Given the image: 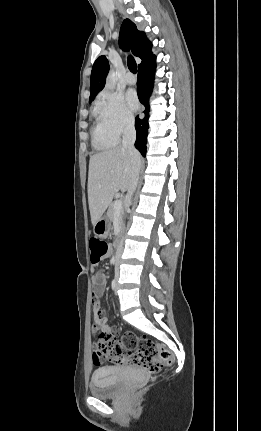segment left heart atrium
<instances>
[{
  "label": "left heart atrium",
  "instance_id": "39dd6f15",
  "mask_svg": "<svg viewBox=\"0 0 261 431\" xmlns=\"http://www.w3.org/2000/svg\"><path fill=\"white\" fill-rule=\"evenodd\" d=\"M125 101L131 111H136L138 109L139 101L136 93L133 90H129L126 92Z\"/></svg>",
  "mask_w": 261,
  "mask_h": 431
}]
</instances>
